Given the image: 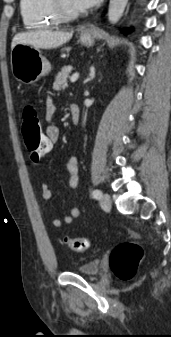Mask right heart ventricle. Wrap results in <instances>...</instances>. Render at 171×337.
Segmentation results:
<instances>
[{
  "instance_id": "e07e8e85",
  "label": "right heart ventricle",
  "mask_w": 171,
  "mask_h": 337,
  "mask_svg": "<svg viewBox=\"0 0 171 337\" xmlns=\"http://www.w3.org/2000/svg\"><path fill=\"white\" fill-rule=\"evenodd\" d=\"M20 13L28 29H48L61 23L52 0H20Z\"/></svg>"
}]
</instances>
